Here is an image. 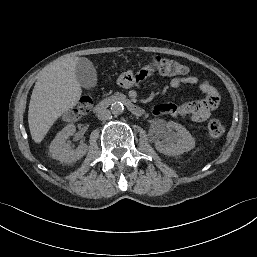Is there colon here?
<instances>
[{"label":"colon","instance_id":"1","mask_svg":"<svg viewBox=\"0 0 257 257\" xmlns=\"http://www.w3.org/2000/svg\"><path fill=\"white\" fill-rule=\"evenodd\" d=\"M149 63L153 64L157 68L158 74L162 76H179L187 73V67L182 63L160 56L153 57ZM89 108V97L84 96L80 99L75 110L68 113V116L70 118H76L86 113ZM223 133L224 126L219 119H211L208 122L207 136L210 140L219 139L223 135Z\"/></svg>","mask_w":257,"mask_h":257}]
</instances>
